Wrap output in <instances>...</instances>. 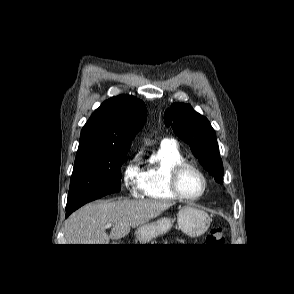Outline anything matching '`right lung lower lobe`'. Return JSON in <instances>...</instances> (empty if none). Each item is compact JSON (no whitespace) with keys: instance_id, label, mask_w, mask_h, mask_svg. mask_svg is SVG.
Here are the masks:
<instances>
[{"instance_id":"right-lung-lower-lobe-1","label":"right lung lower lobe","mask_w":294,"mask_h":294,"mask_svg":"<svg viewBox=\"0 0 294 294\" xmlns=\"http://www.w3.org/2000/svg\"><path fill=\"white\" fill-rule=\"evenodd\" d=\"M86 203H88V202L77 204V205H74V206L69 207V208L66 207V217H68L73 211H75L76 209H78L79 207H81L82 205H84Z\"/></svg>"}]
</instances>
